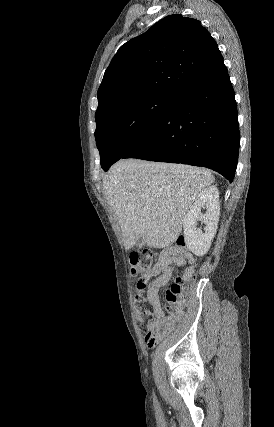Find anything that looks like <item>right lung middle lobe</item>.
I'll return each instance as SVG.
<instances>
[{"label": "right lung middle lobe", "mask_w": 274, "mask_h": 427, "mask_svg": "<svg viewBox=\"0 0 274 427\" xmlns=\"http://www.w3.org/2000/svg\"><path fill=\"white\" fill-rule=\"evenodd\" d=\"M175 96L142 95L113 104L96 116L95 138L101 167L109 168L161 120Z\"/></svg>", "instance_id": "right-lung-middle-lobe-1"}]
</instances>
